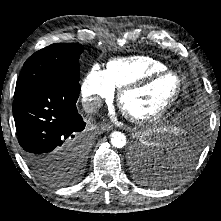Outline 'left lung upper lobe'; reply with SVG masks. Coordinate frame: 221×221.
I'll use <instances>...</instances> for the list:
<instances>
[{
    "instance_id": "5c2ea615",
    "label": "left lung upper lobe",
    "mask_w": 221,
    "mask_h": 221,
    "mask_svg": "<svg viewBox=\"0 0 221 221\" xmlns=\"http://www.w3.org/2000/svg\"><path fill=\"white\" fill-rule=\"evenodd\" d=\"M145 173H147V172L144 170V168H138V170H137L138 181L144 183V180H145L144 174Z\"/></svg>"
}]
</instances>
